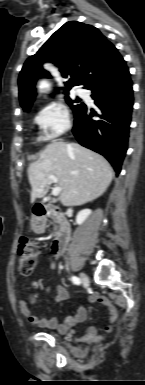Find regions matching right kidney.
Here are the masks:
<instances>
[{
    "instance_id": "right-kidney-1",
    "label": "right kidney",
    "mask_w": 145,
    "mask_h": 385,
    "mask_svg": "<svg viewBox=\"0 0 145 385\" xmlns=\"http://www.w3.org/2000/svg\"><path fill=\"white\" fill-rule=\"evenodd\" d=\"M90 214H91V210L90 209H83V210L79 211L77 216H76V223L78 225L83 224L84 221L88 218V216Z\"/></svg>"
}]
</instances>
